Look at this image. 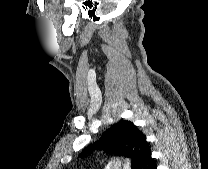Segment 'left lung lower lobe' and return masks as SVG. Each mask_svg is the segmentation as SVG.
<instances>
[{"label":"left lung lower lobe","instance_id":"obj_1","mask_svg":"<svg viewBox=\"0 0 208 169\" xmlns=\"http://www.w3.org/2000/svg\"><path fill=\"white\" fill-rule=\"evenodd\" d=\"M137 169H157V165L151 157L150 148L145 151L140 159Z\"/></svg>","mask_w":208,"mask_h":169}]
</instances>
